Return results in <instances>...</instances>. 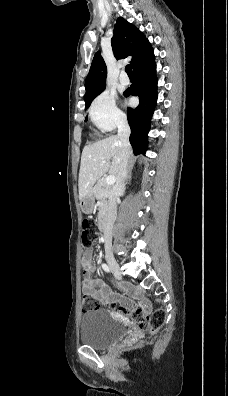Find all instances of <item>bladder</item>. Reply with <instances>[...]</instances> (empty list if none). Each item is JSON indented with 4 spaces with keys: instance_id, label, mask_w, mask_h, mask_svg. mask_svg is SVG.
I'll list each match as a JSON object with an SVG mask.
<instances>
[{
    "instance_id": "1",
    "label": "bladder",
    "mask_w": 228,
    "mask_h": 396,
    "mask_svg": "<svg viewBox=\"0 0 228 396\" xmlns=\"http://www.w3.org/2000/svg\"><path fill=\"white\" fill-rule=\"evenodd\" d=\"M128 331L124 324L113 320L104 309L88 311L80 321L81 342L96 349L107 348L122 340Z\"/></svg>"
}]
</instances>
